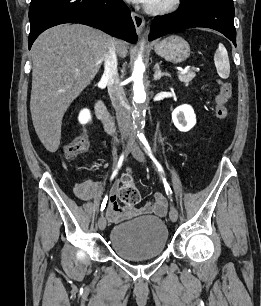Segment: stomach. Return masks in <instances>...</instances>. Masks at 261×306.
Instances as JSON below:
<instances>
[{"label":"stomach","instance_id":"1","mask_svg":"<svg viewBox=\"0 0 261 306\" xmlns=\"http://www.w3.org/2000/svg\"><path fill=\"white\" fill-rule=\"evenodd\" d=\"M155 52L169 62L181 63L189 57L190 46L182 37L171 35L155 45Z\"/></svg>","mask_w":261,"mask_h":306}]
</instances>
